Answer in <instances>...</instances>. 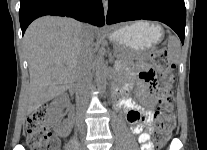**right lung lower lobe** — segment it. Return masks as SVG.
Segmentation results:
<instances>
[{"label":"right lung lower lobe","instance_id":"1","mask_svg":"<svg viewBox=\"0 0 207 150\" xmlns=\"http://www.w3.org/2000/svg\"><path fill=\"white\" fill-rule=\"evenodd\" d=\"M45 15L72 17L99 27L105 22L102 0H20L22 34L33 20Z\"/></svg>","mask_w":207,"mask_h":150}]
</instances>
